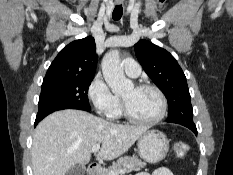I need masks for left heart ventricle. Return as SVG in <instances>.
<instances>
[{
    "label": "left heart ventricle",
    "instance_id": "b2bd125f",
    "mask_svg": "<svg viewBox=\"0 0 233 175\" xmlns=\"http://www.w3.org/2000/svg\"><path fill=\"white\" fill-rule=\"evenodd\" d=\"M121 98L126 101L131 113L139 119H152L161 110L159 96L153 90H137L132 86L121 95Z\"/></svg>",
    "mask_w": 233,
    "mask_h": 175
}]
</instances>
